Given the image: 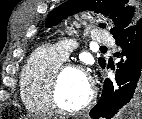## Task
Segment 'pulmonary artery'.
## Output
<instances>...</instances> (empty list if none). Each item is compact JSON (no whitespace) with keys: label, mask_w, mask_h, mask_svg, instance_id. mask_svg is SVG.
<instances>
[{"label":"pulmonary artery","mask_w":142,"mask_h":119,"mask_svg":"<svg viewBox=\"0 0 142 119\" xmlns=\"http://www.w3.org/2000/svg\"><path fill=\"white\" fill-rule=\"evenodd\" d=\"M93 41L99 45H114V38L105 30H99L93 35ZM54 50L63 59H67L73 52L75 44L71 40H62L53 45Z\"/></svg>","instance_id":"pulmonary-artery-1"}]
</instances>
